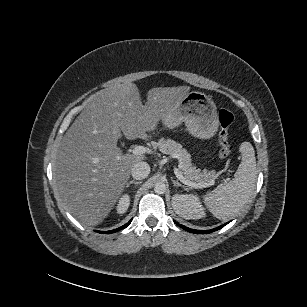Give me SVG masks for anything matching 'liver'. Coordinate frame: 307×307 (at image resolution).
<instances>
[{
    "label": "liver",
    "instance_id": "liver-1",
    "mask_svg": "<svg viewBox=\"0 0 307 307\" xmlns=\"http://www.w3.org/2000/svg\"><path fill=\"white\" fill-rule=\"evenodd\" d=\"M189 86L148 91L142 103L134 83H122L92 95L67 130L54 160L56 199L82 225L96 226L112 209L141 156L123 154L117 128L129 139L154 132L161 115L177 108Z\"/></svg>",
    "mask_w": 307,
    "mask_h": 307
}]
</instances>
